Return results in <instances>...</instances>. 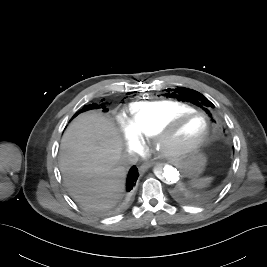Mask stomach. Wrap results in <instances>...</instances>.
<instances>
[{
  "instance_id": "stomach-1",
  "label": "stomach",
  "mask_w": 267,
  "mask_h": 267,
  "mask_svg": "<svg viewBox=\"0 0 267 267\" xmlns=\"http://www.w3.org/2000/svg\"><path fill=\"white\" fill-rule=\"evenodd\" d=\"M206 158L203 154L193 152L190 153L180 163L183 171L189 176H198L204 170Z\"/></svg>"
}]
</instances>
